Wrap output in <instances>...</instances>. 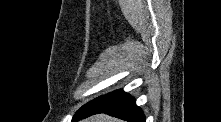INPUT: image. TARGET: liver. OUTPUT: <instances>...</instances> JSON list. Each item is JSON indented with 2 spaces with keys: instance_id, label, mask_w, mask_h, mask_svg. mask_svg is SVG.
Here are the masks:
<instances>
[{
  "instance_id": "1",
  "label": "liver",
  "mask_w": 221,
  "mask_h": 122,
  "mask_svg": "<svg viewBox=\"0 0 221 122\" xmlns=\"http://www.w3.org/2000/svg\"><path fill=\"white\" fill-rule=\"evenodd\" d=\"M83 122H121L119 119L112 118L106 114H98L85 119Z\"/></svg>"
}]
</instances>
